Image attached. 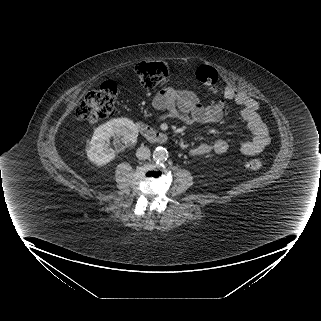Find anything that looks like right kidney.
Here are the masks:
<instances>
[{
    "label": "right kidney",
    "instance_id": "1",
    "mask_svg": "<svg viewBox=\"0 0 321 321\" xmlns=\"http://www.w3.org/2000/svg\"><path fill=\"white\" fill-rule=\"evenodd\" d=\"M114 135L122 136V142L130 145L136 142L138 129L128 118L112 119L97 127L86 148L87 156L92 163L103 166L114 159L115 151L108 148L109 137Z\"/></svg>",
    "mask_w": 321,
    "mask_h": 321
}]
</instances>
